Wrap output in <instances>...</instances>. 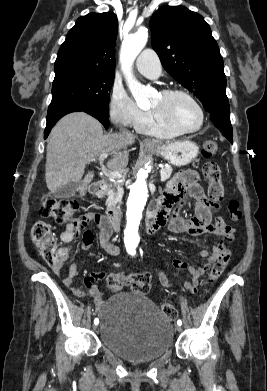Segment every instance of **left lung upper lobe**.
<instances>
[{
	"mask_svg": "<svg viewBox=\"0 0 267 391\" xmlns=\"http://www.w3.org/2000/svg\"><path fill=\"white\" fill-rule=\"evenodd\" d=\"M150 29L165 70L209 113L229 109L223 59L203 17L184 6H163L151 17Z\"/></svg>",
	"mask_w": 267,
	"mask_h": 391,
	"instance_id": "5c2ea615",
	"label": "left lung upper lobe"
}]
</instances>
